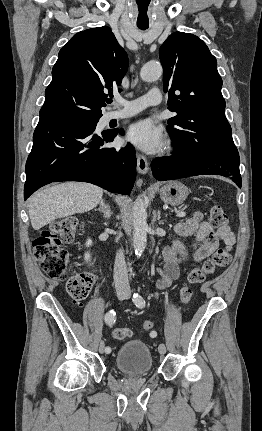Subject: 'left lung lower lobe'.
<instances>
[{
	"instance_id": "1",
	"label": "left lung lower lobe",
	"mask_w": 262,
	"mask_h": 431,
	"mask_svg": "<svg viewBox=\"0 0 262 431\" xmlns=\"http://www.w3.org/2000/svg\"><path fill=\"white\" fill-rule=\"evenodd\" d=\"M154 178L158 181L179 179L196 175L232 176L241 187L239 154L236 146H228L214 156H194L175 151L170 157L155 159L152 164Z\"/></svg>"
}]
</instances>
